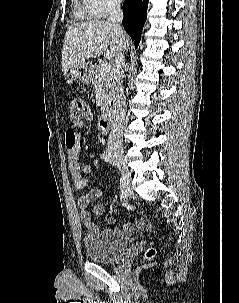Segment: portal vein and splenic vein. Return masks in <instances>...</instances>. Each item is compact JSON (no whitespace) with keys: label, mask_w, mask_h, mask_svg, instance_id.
Masks as SVG:
<instances>
[{"label":"portal vein and splenic vein","mask_w":239,"mask_h":303,"mask_svg":"<svg viewBox=\"0 0 239 303\" xmlns=\"http://www.w3.org/2000/svg\"><path fill=\"white\" fill-rule=\"evenodd\" d=\"M110 70H111V66L109 63L106 62L101 64L100 74L102 76L107 75L110 72Z\"/></svg>","instance_id":"obj_1"}]
</instances>
